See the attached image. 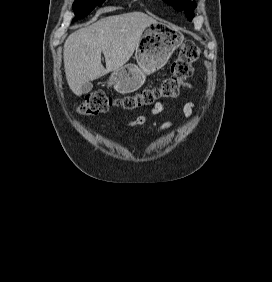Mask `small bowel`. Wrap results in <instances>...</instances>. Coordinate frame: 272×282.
I'll use <instances>...</instances> for the list:
<instances>
[{"label": "small bowel", "mask_w": 272, "mask_h": 282, "mask_svg": "<svg viewBox=\"0 0 272 282\" xmlns=\"http://www.w3.org/2000/svg\"><path fill=\"white\" fill-rule=\"evenodd\" d=\"M185 89H192L193 86L191 84H186L184 86ZM183 94V91L181 92ZM163 110V107L161 104H156L152 109H151V113L153 115H157V114H160ZM193 110H194V104L189 102L185 105L184 107V113L187 117H190L192 116L193 114ZM147 120V117L145 115H140L138 116L136 119L132 120V121H129L127 123V126L128 127H137V126H140V125H143ZM173 126V123L172 122H166L159 130L160 133H163L165 130L171 128Z\"/></svg>", "instance_id": "small-bowel-1"}]
</instances>
